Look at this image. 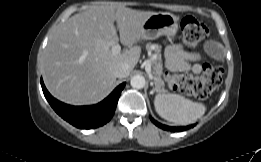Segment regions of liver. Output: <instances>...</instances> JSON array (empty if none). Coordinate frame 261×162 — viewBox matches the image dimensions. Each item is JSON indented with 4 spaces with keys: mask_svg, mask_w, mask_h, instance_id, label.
Here are the masks:
<instances>
[{
    "mask_svg": "<svg viewBox=\"0 0 261 162\" xmlns=\"http://www.w3.org/2000/svg\"><path fill=\"white\" fill-rule=\"evenodd\" d=\"M156 12L113 5L92 6L73 15L50 37L42 60V73L49 92L74 105L94 104L113 89V70L120 64L137 65L143 35L142 24ZM117 23L120 37L114 23ZM132 46L112 54L118 41Z\"/></svg>",
    "mask_w": 261,
    "mask_h": 162,
    "instance_id": "1",
    "label": "liver"
}]
</instances>
